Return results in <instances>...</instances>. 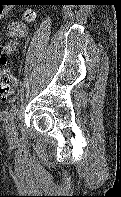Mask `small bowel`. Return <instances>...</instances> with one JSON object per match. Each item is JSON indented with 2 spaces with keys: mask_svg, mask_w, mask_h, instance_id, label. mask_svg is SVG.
I'll return each mask as SVG.
<instances>
[{
  "mask_svg": "<svg viewBox=\"0 0 121 197\" xmlns=\"http://www.w3.org/2000/svg\"><path fill=\"white\" fill-rule=\"evenodd\" d=\"M9 17V10L8 8L0 7V21Z\"/></svg>",
  "mask_w": 121,
  "mask_h": 197,
  "instance_id": "1",
  "label": "small bowel"
}]
</instances>
